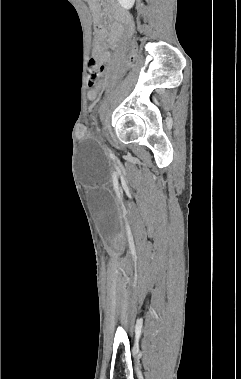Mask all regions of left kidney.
I'll use <instances>...</instances> for the list:
<instances>
[{
	"instance_id": "1",
	"label": "left kidney",
	"mask_w": 241,
	"mask_h": 379,
	"mask_svg": "<svg viewBox=\"0 0 241 379\" xmlns=\"http://www.w3.org/2000/svg\"><path fill=\"white\" fill-rule=\"evenodd\" d=\"M119 4L124 9H131L134 5L135 0H118Z\"/></svg>"
}]
</instances>
